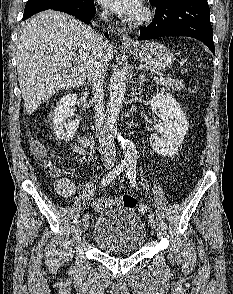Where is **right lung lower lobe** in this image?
Returning <instances> with one entry per match:
<instances>
[{"instance_id": "right-lung-lower-lobe-1", "label": "right lung lower lobe", "mask_w": 233, "mask_h": 294, "mask_svg": "<svg viewBox=\"0 0 233 294\" xmlns=\"http://www.w3.org/2000/svg\"><path fill=\"white\" fill-rule=\"evenodd\" d=\"M47 10H55L70 14L86 24L90 23V20L96 13L94 0H78L77 2L68 5L56 6ZM105 36L106 38L108 37L107 32L105 33Z\"/></svg>"}]
</instances>
